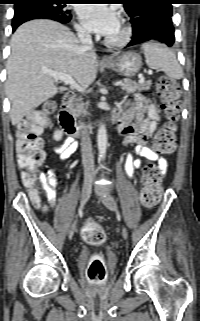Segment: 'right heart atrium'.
Instances as JSON below:
<instances>
[{
    "label": "right heart atrium",
    "mask_w": 200,
    "mask_h": 321,
    "mask_svg": "<svg viewBox=\"0 0 200 321\" xmlns=\"http://www.w3.org/2000/svg\"><path fill=\"white\" fill-rule=\"evenodd\" d=\"M76 29H77V32H78L80 35H86V34H87L86 29H85L82 25H80V24H78V25L76 26Z\"/></svg>",
    "instance_id": "right-heart-atrium-1"
}]
</instances>
